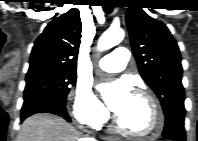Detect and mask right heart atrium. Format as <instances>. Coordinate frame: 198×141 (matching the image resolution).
Wrapping results in <instances>:
<instances>
[{
  "instance_id": "right-heart-atrium-1",
  "label": "right heart atrium",
  "mask_w": 198,
  "mask_h": 141,
  "mask_svg": "<svg viewBox=\"0 0 198 141\" xmlns=\"http://www.w3.org/2000/svg\"><path fill=\"white\" fill-rule=\"evenodd\" d=\"M69 102L71 113L79 124L99 128L109 118L106 108L86 83H78L76 89L69 96Z\"/></svg>"
}]
</instances>
